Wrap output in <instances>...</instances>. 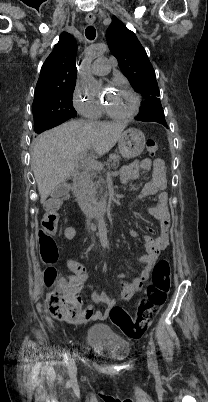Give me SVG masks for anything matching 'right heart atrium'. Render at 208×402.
<instances>
[{
	"label": "right heart atrium",
	"mask_w": 208,
	"mask_h": 402,
	"mask_svg": "<svg viewBox=\"0 0 208 402\" xmlns=\"http://www.w3.org/2000/svg\"><path fill=\"white\" fill-rule=\"evenodd\" d=\"M72 100L74 106L87 119L96 120L99 118L102 106L98 97L80 82H77L72 89Z\"/></svg>",
	"instance_id": "right-heart-atrium-1"
}]
</instances>
